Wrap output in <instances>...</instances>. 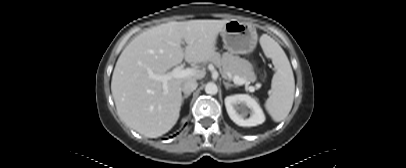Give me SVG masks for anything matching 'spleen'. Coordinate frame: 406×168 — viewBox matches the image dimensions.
Returning <instances> with one entry per match:
<instances>
[{
	"label": "spleen",
	"instance_id": "1",
	"mask_svg": "<svg viewBox=\"0 0 406 168\" xmlns=\"http://www.w3.org/2000/svg\"><path fill=\"white\" fill-rule=\"evenodd\" d=\"M260 43L265 55L271 58L277 69L271 82V95L265 108L275 122L284 120L292 109L295 93V80L290 62L280 45L267 35Z\"/></svg>",
	"mask_w": 406,
	"mask_h": 168
}]
</instances>
